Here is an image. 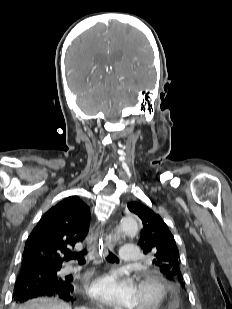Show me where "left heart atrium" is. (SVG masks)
Wrapping results in <instances>:
<instances>
[{
	"label": "left heart atrium",
	"instance_id": "39dd6f15",
	"mask_svg": "<svg viewBox=\"0 0 232 309\" xmlns=\"http://www.w3.org/2000/svg\"><path fill=\"white\" fill-rule=\"evenodd\" d=\"M88 294L114 309H133L137 286L128 278L116 273H106L91 281Z\"/></svg>",
	"mask_w": 232,
	"mask_h": 309
}]
</instances>
